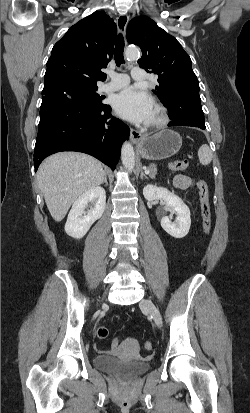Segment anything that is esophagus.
Returning <instances> with one entry per match:
<instances>
[{
  "label": "esophagus",
  "mask_w": 250,
  "mask_h": 413,
  "mask_svg": "<svg viewBox=\"0 0 250 413\" xmlns=\"http://www.w3.org/2000/svg\"><path fill=\"white\" fill-rule=\"evenodd\" d=\"M129 21V15L127 13L121 14L116 21L118 31L121 34H125L126 26ZM142 135L139 131L131 128L130 130V139L132 143H137L141 139Z\"/></svg>",
  "instance_id": "34e87169"
}]
</instances>
